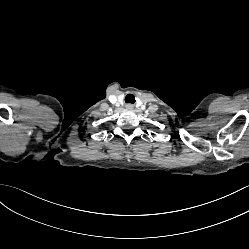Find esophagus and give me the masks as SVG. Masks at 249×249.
Returning <instances> with one entry per match:
<instances>
[{
	"instance_id": "esophagus-1",
	"label": "esophagus",
	"mask_w": 249,
	"mask_h": 249,
	"mask_svg": "<svg viewBox=\"0 0 249 249\" xmlns=\"http://www.w3.org/2000/svg\"><path fill=\"white\" fill-rule=\"evenodd\" d=\"M133 107H134V106H133L132 104H127V105H126V108H127V109H130V110L133 109Z\"/></svg>"
}]
</instances>
